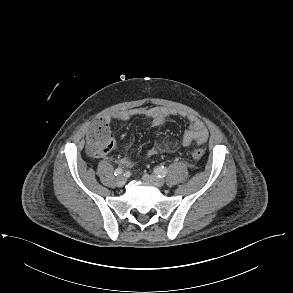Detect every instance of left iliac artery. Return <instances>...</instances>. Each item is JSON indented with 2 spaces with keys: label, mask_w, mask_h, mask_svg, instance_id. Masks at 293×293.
Masks as SVG:
<instances>
[{
  "label": "left iliac artery",
  "mask_w": 293,
  "mask_h": 293,
  "mask_svg": "<svg viewBox=\"0 0 293 293\" xmlns=\"http://www.w3.org/2000/svg\"><path fill=\"white\" fill-rule=\"evenodd\" d=\"M154 172L158 175V177H165L166 174L168 173V170L163 167V166H159L157 168L154 169Z\"/></svg>",
  "instance_id": "1"
}]
</instances>
